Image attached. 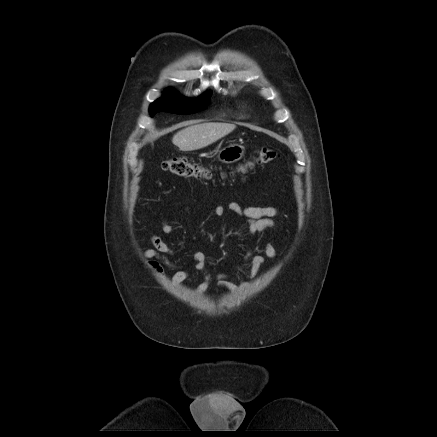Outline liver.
Masks as SVG:
<instances>
[{
	"instance_id": "obj_1",
	"label": "liver",
	"mask_w": 437,
	"mask_h": 437,
	"mask_svg": "<svg viewBox=\"0 0 437 437\" xmlns=\"http://www.w3.org/2000/svg\"><path fill=\"white\" fill-rule=\"evenodd\" d=\"M235 128L236 125L230 123L195 124L178 131L172 142L181 151L199 150L228 135Z\"/></svg>"
}]
</instances>
